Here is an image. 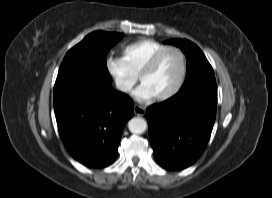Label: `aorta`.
Wrapping results in <instances>:
<instances>
[{
	"label": "aorta",
	"instance_id": "aorta-1",
	"mask_svg": "<svg viewBox=\"0 0 272 198\" xmlns=\"http://www.w3.org/2000/svg\"><path fill=\"white\" fill-rule=\"evenodd\" d=\"M128 128L131 133L141 134L147 129V122L140 117H134L128 122Z\"/></svg>",
	"mask_w": 272,
	"mask_h": 198
}]
</instances>
